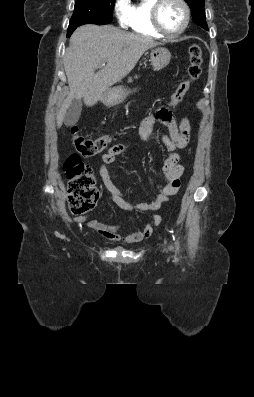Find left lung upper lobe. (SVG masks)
<instances>
[{"mask_svg": "<svg viewBox=\"0 0 254 397\" xmlns=\"http://www.w3.org/2000/svg\"><path fill=\"white\" fill-rule=\"evenodd\" d=\"M192 10L193 21L208 30L206 23L205 11H204V0H185Z\"/></svg>", "mask_w": 254, "mask_h": 397, "instance_id": "1", "label": "left lung upper lobe"}]
</instances>
